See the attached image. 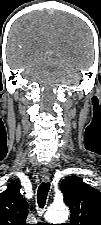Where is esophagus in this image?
I'll list each match as a JSON object with an SVG mask.
<instances>
[{
    "label": "esophagus",
    "instance_id": "34e87169",
    "mask_svg": "<svg viewBox=\"0 0 101 225\" xmlns=\"http://www.w3.org/2000/svg\"><path fill=\"white\" fill-rule=\"evenodd\" d=\"M41 179H42V181H44V182H49V181H50V175H43V176L41 177Z\"/></svg>",
    "mask_w": 101,
    "mask_h": 225
}]
</instances>
